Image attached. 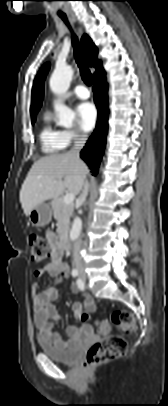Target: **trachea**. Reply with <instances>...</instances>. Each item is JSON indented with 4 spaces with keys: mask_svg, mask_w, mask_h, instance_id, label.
I'll use <instances>...</instances> for the list:
<instances>
[{
    "mask_svg": "<svg viewBox=\"0 0 168 406\" xmlns=\"http://www.w3.org/2000/svg\"><path fill=\"white\" fill-rule=\"evenodd\" d=\"M62 20L69 26V23L66 18H62ZM72 44H73V48H74L75 59L78 64V67L80 68L82 80L87 85L90 86V85H92V74L86 64V61H85L82 51L80 49V45L78 43V38L76 37L75 34H72Z\"/></svg>",
    "mask_w": 168,
    "mask_h": 406,
    "instance_id": "obj_1",
    "label": "trachea"
}]
</instances>
